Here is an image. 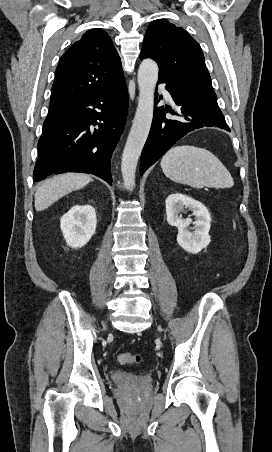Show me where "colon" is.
Wrapping results in <instances>:
<instances>
[{"label": "colon", "instance_id": "1", "mask_svg": "<svg viewBox=\"0 0 272 452\" xmlns=\"http://www.w3.org/2000/svg\"><path fill=\"white\" fill-rule=\"evenodd\" d=\"M118 361L122 365H133L141 361V357L138 354L122 353L118 356Z\"/></svg>", "mask_w": 272, "mask_h": 452}]
</instances>
